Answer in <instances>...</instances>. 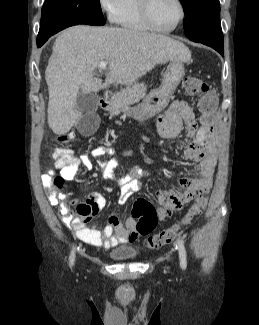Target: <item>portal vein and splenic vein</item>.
<instances>
[{"label": "portal vein and splenic vein", "mask_w": 259, "mask_h": 325, "mask_svg": "<svg viewBox=\"0 0 259 325\" xmlns=\"http://www.w3.org/2000/svg\"><path fill=\"white\" fill-rule=\"evenodd\" d=\"M107 62L106 61H101L100 64H99V69L102 70V69H105L107 67Z\"/></svg>", "instance_id": "1"}]
</instances>
